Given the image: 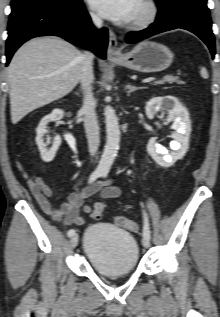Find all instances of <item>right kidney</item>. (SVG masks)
I'll list each match as a JSON object with an SVG mask.
<instances>
[{
  "mask_svg": "<svg viewBox=\"0 0 220 317\" xmlns=\"http://www.w3.org/2000/svg\"><path fill=\"white\" fill-rule=\"evenodd\" d=\"M63 116H64L63 110L54 109L50 114L44 116L41 119L38 127L36 128L37 136L35 141L39 148L41 158L45 162H51L54 159L56 152L61 144V137L59 135H56L54 137L52 147L47 148L46 144L44 143V136L47 132L46 126L49 122L62 119Z\"/></svg>",
  "mask_w": 220,
  "mask_h": 317,
  "instance_id": "1",
  "label": "right kidney"
}]
</instances>
